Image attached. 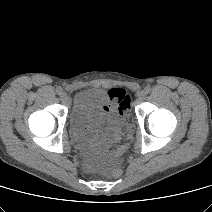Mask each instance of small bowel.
<instances>
[{
	"label": "small bowel",
	"mask_w": 212,
	"mask_h": 212,
	"mask_svg": "<svg viewBox=\"0 0 212 212\" xmlns=\"http://www.w3.org/2000/svg\"><path fill=\"white\" fill-rule=\"evenodd\" d=\"M120 91L124 92L120 88L109 90L107 97L101 96L98 98L97 103L89 112L88 122L92 124L96 135L107 143L119 141L126 132L120 114L115 107Z\"/></svg>",
	"instance_id": "obj_1"
}]
</instances>
